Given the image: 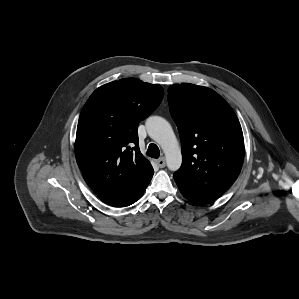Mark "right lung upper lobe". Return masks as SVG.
I'll return each instance as SVG.
<instances>
[{
    "mask_svg": "<svg viewBox=\"0 0 299 299\" xmlns=\"http://www.w3.org/2000/svg\"><path fill=\"white\" fill-rule=\"evenodd\" d=\"M163 96L160 85L126 78L97 88L85 103L75 155L84 180L101 200L129 198L150 183L154 170L139 150L137 129Z\"/></svg>",
    "mask_w": 299,
    "mask_h": 299,
    "instance_id": "1",
    "label": "right lung upper lobe"
}]
</instances>
